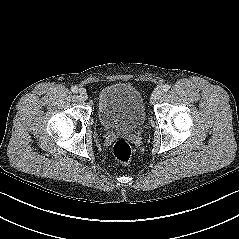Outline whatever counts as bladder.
Segmentation results:
<instances>
[{
  "label": "bladder",
  "instance_id": "bladder-1",
  "mask_svg": "<svg viewBox=\"0 0 239 239\" xmlns=\"http://www.w3.org/2000/svg\"><path fill=\"white\" fill-rule=\"evenodd\" d=\"M98 118L108 130H134L145 121V106L141 93L128 83L107 85L99 93Z\"/></svg>",
  "mask_w": 239,
  "mask_h": 239
}]
</instances>
